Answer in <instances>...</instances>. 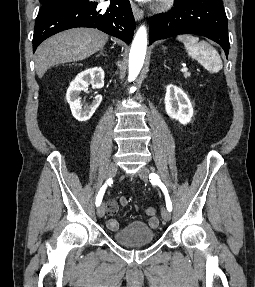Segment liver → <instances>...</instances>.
<instances>
[{
    "label": "liver",
    "instance_id": "6515ba94",
    "mask_svg": "<svg viewBox=\"0 0 255 287\" xmlns=\"http://www.w3.org/2000/svg\"><path fill=\"white\" fill-rule=\"evenodd\" d=\"M107 40V34L93 28H73L48 38L36 50L35 70L38 78H43L45 72L56 64L89 58L103 50Z\"/></svg>",
    "mask_w": 255,
    "mask_h": 287
}]
</instances>
